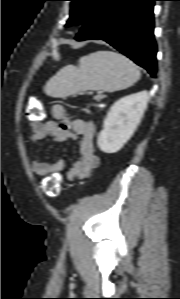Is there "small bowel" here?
Here are the masks:
<instances>
[{
	"label": "small bowel",
	"mask_w": 180,
	"mask_h": 299,
	"mask_svg": "<svg viewBox=\"0 0 180 299\" xmlns=\"http://www.w3.org/2000/svg\"><path fill=\"white\" fill-rule=\"evenodd\" d=\"M52 119L37 120L30 117V140L38 143L50 137L55 142L75 141L80 137L78 159L67 171L70 181L88 178L99 166V157L95 153L94 137L96 127L93 122L84 119H71L65 107L56 103L52 106ZM64 159L47 162L36 158L31 164L32 172L37 176H46L63 171Z\"/></svg>",
	"instance_id": "small-bowel-1"
}]
</instances>
